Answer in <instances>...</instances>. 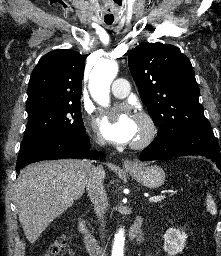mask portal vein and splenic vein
<instances>
[{
	"label": "portal vein and splenic vein",
	"instance_id": "1",
	"mask_svg": "<svg viewBox=\"0 0 221 256\" xmlns=\"http://www.w3.org/2000/svg\"><path fill=\"white\" fill-rule=\"evenodd\" d=\"M164 198H165L164 195H158V196L150 197L149 202H159V201L163 200Z\"/></svg>",
	"mask_w": 221,
	"mask_h": 256
}]
</instances>
